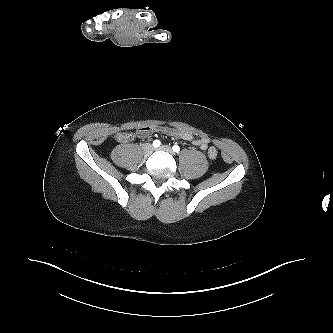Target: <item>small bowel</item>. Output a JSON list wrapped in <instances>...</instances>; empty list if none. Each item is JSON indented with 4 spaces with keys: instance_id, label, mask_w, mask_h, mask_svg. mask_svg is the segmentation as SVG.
<instances>
[{
    "instance_id": "small-bowel-1",
    "label": "small bowel",
    "mask_w": 333,
    "mask_h": 333,
    "mask_svg": "<svg viewBox=\"0 0 333 333\" xmlns=\"http://www.w3.org/2000/svg\"><path fill=\"white\" fill-rule=\"evenodd\" d=\"M153 132H159L173 137L191 141L194 145L199 146L200 149L202 150H206L209 143V139L207 137H194L190 132L184 129L172 128L167 126L141 127L137 129L136 134L139 138H145L151 135Z\"/></svg>"
}]
</instances>
